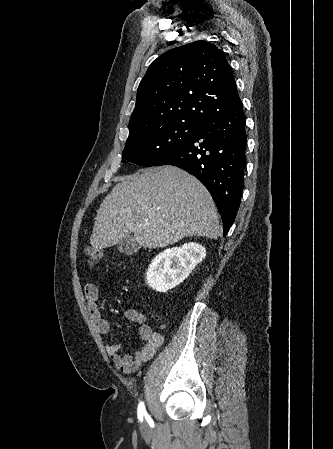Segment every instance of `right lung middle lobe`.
<instances>
[{"mask_svg": "<svg viewBox=\"0 0 333 449\" xmlns=\"http://www.w3.org/2000/svg\"><path fill=\"white\" fill-rule=\"evenodd\" d=\"M200 124L180 121L172 122L127 140L122 153V162L140 166H155L182 143L191 138Z\"/></svg>", "mask_w": 333, "mask_h": 449, "instance_id": "dd1d6c3e", "label": "right lung middle lobe"}]
</instances>
